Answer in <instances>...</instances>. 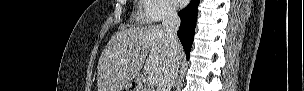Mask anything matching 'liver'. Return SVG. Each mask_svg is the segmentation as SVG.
<instances>
[{
    "instance_id": "liver-1",
    "label": "liver",
    "mask_w": 304,
    "mask_h": 91,
    "mask_svg": "<svg viewBox=\"0 0 304 91\" xmlns=\"http://www.w3.org/2000/svg\"><path fill=\"white\" fill-rule=\"evenodd\" d=\"M180 58L183 59L182 48ZM169 59L161 25L123 28L111 38L99 58L98 91H121L141 69L158 82Z\"/></svg>"
}]
</instances>
